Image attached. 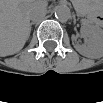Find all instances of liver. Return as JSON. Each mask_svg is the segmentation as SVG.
Returning <instances> with one entry per match:
<instances>
[{
  "label": "liver",
  "mask_w": 103,
  "mask_h": 103,
  "mask_svg": "<svg viewBox=\"0 0 103 103\" xmlns=\"http://www.w3.org/2000/svg\"><path fill=\"white\" fill-rule=\"evenodd\" d=\"M41 1L6 0L1 2V56L13 55L25 45L30 35L31 11L44 8Z\"/></svg>",
  "instance_id": "1"
}]
</instances>
